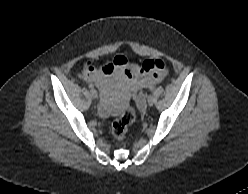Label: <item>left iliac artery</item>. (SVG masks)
<instances>
[{"label": "left iliac artery", "instance_id": "obj_1", "mask_svg": "<svg viewBox=\"0 0 248 194\" xmlns=\"http://www.w3.org/2000/svg\"><path fill=\"white\" fill-rule=\"evenodd\" d=\"M150 90L153 91L154 90V87H150Z\"/></svg>", "mask_w": 248, "mask_h": 194}]
</instances>
